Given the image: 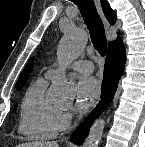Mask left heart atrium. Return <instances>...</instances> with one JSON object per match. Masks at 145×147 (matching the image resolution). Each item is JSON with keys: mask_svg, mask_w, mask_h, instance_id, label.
<instances>
[{"mask_svg": "<svg viewBox=\"0 0 145 147\" xmlns=\"http://www.w3.org/2000/svg\"><path fill=\"white\" fill-rule=\"evenodd\" d=\"M76 93L79 108H89L99 98L101 84L94 77H84L78 82Z\"/></svg>", "mask_w": 145, "mask_h": 147, "instance_id": "left-heart-atrium-1", "label": "left heart atrium"}]
</instances>
